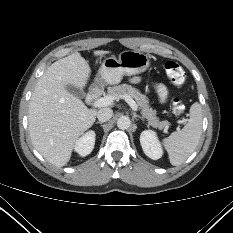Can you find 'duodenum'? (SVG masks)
<instances>
[{
  "label": "duodenum",
  "mask_w": 233,
  "mask_h": 233,
  "mask_svg": "<svg viewBox=\"0 0 233 233\" xmlns=\"http://www.w3.org/2000/svg\"><path fill=\"white\" fill-rule=\"evenodd\" d=\"M97 96H98V88L94 86L89 90V92L86 96V102L88 104H92L95 101V99L97 98Z\"/></svg>",
  "instance_id": "410a0bca"
}]
</instances>
